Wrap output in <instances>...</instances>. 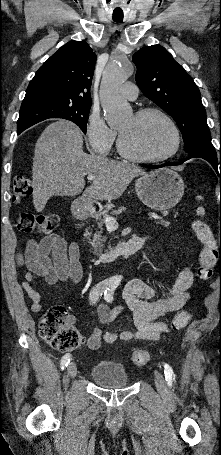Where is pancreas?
<instances>
[{
	"instance_id": "obj_1",
	"label": "pancreas",
	"mask_w": 221,
	"mask_h": 455,
	"mask_svg": "<svg viewBox=\"0 0 221 455\" xmlns=\"http://www.w3.org/2000/svg\"><path fill=\"white\" fill-rule=\"evenodd\" d=\"M118 214V211H115V210H111V209H106L104 212H102L98 217H97V220H98V228H99V231L94 234L92 240H91V244H92V247H93V250H94V253L95 254H101L102 253V249L104 247L103 245V239H102V230H103V224H105V217L106 216H110V215H117ZM155 223L157 225H162V226H168L169 225V222L168 221H165V220H161V221H155Z\"/></svg>"
}]
</instances>
